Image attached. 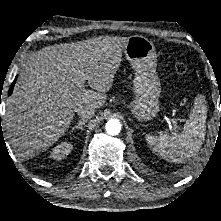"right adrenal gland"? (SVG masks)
<instances>
[{"label": "right adrenal gland", "instance_id": "right-adrenal-gland-1", "mask_svg": "<svg viewBox=\"0 0 221 221\" xmlns=\"http://www.w3.org/2000/svg\"><path fill=\"white\" fill-rule=\"evenodd\" d=\"M86 122L87 120H84V119L78 120L77 124L72 128V132L76 129L83 130V125H85Z\"/></svg>", "mask_w": 221, "mask_h": 221}]
</instances>
